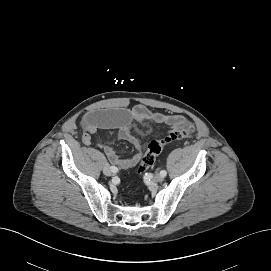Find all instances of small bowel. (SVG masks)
Masks as SVG:
<instances>
[{"label": "small bowel", "instance_id": "small-bowel-1", "mask_svg": "<svg viewBox=\"0 0 271 271\" xmlns=\"http://www.w3.org/2000/svg\"><path fill=\"white\" fill-rule=\"evenodd\" d=\"M148 122L168 125L174 130L187 123L181 115L153 112L143 105H135L130 109L93 111L86 113L82 118L81 124L84 129L82 140L85 144H89L99 129L113 131L118 139L128 141L137 150L131 158L122 159L111 147H107L106 153L110 160L121 169L127 170L133 167L142 156L140 142L132 133V127L135 123L146 124Z\"/></svg>", "mask_w": 271, "mask_h": 271}]
</instances>
